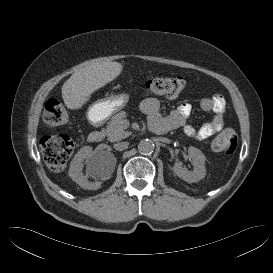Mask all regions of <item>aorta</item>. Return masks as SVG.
Instances as JSON below:
<instances>
[{"label": "aorta", "mask_w": 273, "mask_h": 273, "mask_svg": "<svg viewBox=\"0 0 273 273\" xmlns=\"http://www.w3.org/2000/svg\"><path fill=\"white\" fill-rule=\"evenodd\" d=\"M155 149V144L151 139H143L138 144V151L143 155L151 154Z\"/></svg>", "instance_id": "obj_1"}]
</instances>
